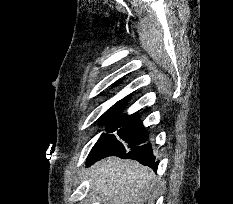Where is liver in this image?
Masks as SVG:
<instances>
[{
	"label": "liver",
	"instance_id": "6515ba94",
	"mask_svg": "<svg viewBox=\"0 0 233 204\" xmlns=\"http://www.w3.org/2000/svg\"><path fill=\"white\" fill-rule=\"evenodd\" d=\"M90 191L103 204H144L155 198L154 172L133 160L109 157L88 169Z\"/></svg>",
	"mask_w": 233,
	"mask_h": 204
}]
</instances>
